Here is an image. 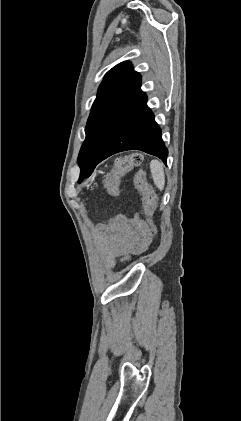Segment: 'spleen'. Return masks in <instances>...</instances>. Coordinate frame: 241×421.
Segmentation results:
<instances>
[{
  "label": "spleen",
  "mask_w": 241,
  "mask_h": 421,
  "mask_svg": "<svg viewBox=\"0 0 241 421\" xmlns=\"http://www.w3.org/2000/svg\"><path fill=\"white\" fill-rule=\"evenodd\" d=\"M150 169L154 184L160 191H162L165 186V175L162 163L158 160H152L150 162Z\"/></svg>",
  "instance_id": "obj_1"
}]
</instances>
